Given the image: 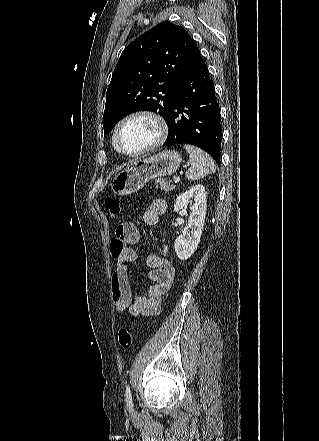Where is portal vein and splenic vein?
<instances>
[{
    "mask_svg": "<svg viewBox=\"0 0 319 441\" xmlns=\"http://www.w3.org/2000/svg\"><path fill=\"white\" fill-rule=\"evenodd\" d=\"M180 181V178L179 177H174V182L175 183H178Z\"/></svg>",
    "mask_w": 319,
    "mask_h": 441,
    "instance_id": "1",
    "label": "portal vein and splenic vein"
}]
</instances>
